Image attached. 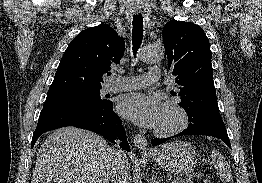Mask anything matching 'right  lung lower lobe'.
I'll return each mask as SVG.
<instances>
[{
  "label": "right lung lower lobe",
  "instance_id": "right-lung-lower-lobe-1",
  "mask_svg": "<svg viewBox=\"0 0 262 183\" xmlns=\"http://www.w3.org/2000/svg\"><path fill=\"white\" fill-rule=\"evenodd\" d=\"M113 102L105 105H85L74 102H45L37 128L33 134L32 147L38 137L50 130L75 126L93 131L107 140L130 151L121 119L113 111Z\"/></svg>",
  "mask_w": 262,
  "mask_h": 183
}]
</instances>
